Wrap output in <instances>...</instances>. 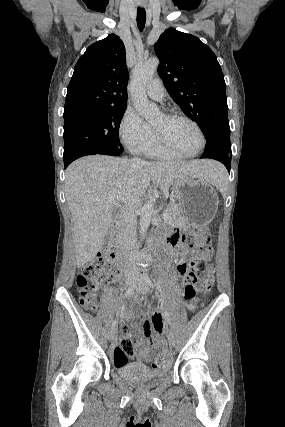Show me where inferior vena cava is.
I'll use <instances>...</instances> for the list:
<instances>
[{"instance_id": "602c4592", "label": "inferior vena cava", "mask_w": 285, "mask_h": 427, "mask_svg": "<svg viewBox=\"0 0 285 427\" xmlns=\"http://www.w3.org/2000/svg\"><path fill=\"white\" fill-rule=\"evenodd\" d=\"M136 163H143L139 158L132 159ZM135 208L130 204H124L120 210V222L122 232V244L123 248L128 255L127 272L136 274L138 268L132 257L136 251V217L134 214Z\"/></svg>"}]
</instances>
